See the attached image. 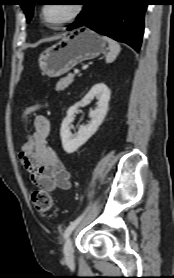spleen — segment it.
I'll list each match as a JSON object with an SVG mask.
<instances>
[{
    "label": "spleen",
    "mask_w": 174,
    "mask_h": 278,
    "mask_svg": "<svg viewBox=\"0 0 174 278\" xmlns=\"http://www.w3.org/2000/svg\"><path fill=\"white\" fill-rule=\"evenodd\" d=\"M102 39L106 41L109 45L110 51L106 55V62L111 63L116 59V57L120 53L121 47L115 40L109 37L103 36Z\"/></svg>",
    "instance_id": "spleen-1"
}]
</instances>
